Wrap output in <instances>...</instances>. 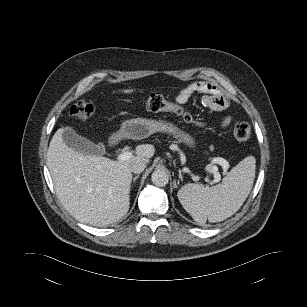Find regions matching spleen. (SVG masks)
Returning a JSON list of instances; mask_svg holds the SVG:
<instances>
[{
	"label": "spleen",
	"mask_w": 307,
	"mask_h": 307,
	"mask_svg": "<svg viewBox=\"0 0 307 307\" xmlns=\"http://www.w3.org/2000/svg\"><path fill=\"white\" fill-rule=\"evenodd\" d=\"M255 163L254 156H247L213 187L186 184L178 191V199L198 223L223 221L235 214L247 199L255 178Z\"/></svg>",
	"instance_id": "3e777b00"
}]
</instances>
